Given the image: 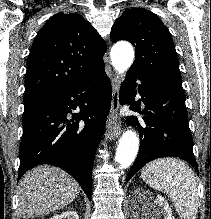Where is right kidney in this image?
I'll return each instance as SVG.
<instances>
[{
	"instance_id": "right-kidney-1",
	"label": "right kidney",
	"mask_w": 211,
	"mask_h": 219,
	"mask_svg": "<svg viewBox=\"0 0 211 219\" xmlns=\"http://www.w3.org/2000/svg\"><path fill=\"white\" fill-rule=\"evenodd\" d=\"M50 219H79V216L75 211H66L56 216H53Z\"/></svg>"
}]
</instances>
